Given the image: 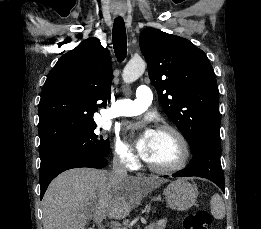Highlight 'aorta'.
<instances>
[{
    "instance_id": "aorta-1",
    "label": "aorta",
    "mask_w": 261,
    "mask_h": 229,
    "mask_svg": "<svg viewBox=\"0 0 261 229\" xmlns=\"http://www.w3.org/2000/svg\"><path fill=\"white\" fill-rule=\"evenodd\" d=\"M145 68L146 62L141 56L130 58L123 70L122 76L124 82H134V80H137V78L143 74Z\"/></svg>"
}]
</instances>
